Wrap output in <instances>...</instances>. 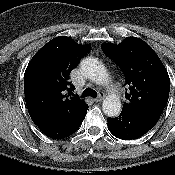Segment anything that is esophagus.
I'll list each match as a JSON object with an SVG mask.
<instances>
[{
	"label": "esophagus",
	"mask_w": 175,
	"mask_h": 175,
	"mask_svg": "<svg viewBox=\"0 0 175 175\" xmlns=\"http://www.w3.org/2000/svg\"><path fill=\"white\" fill-rule=\"evenodd\" d=\"M105 94L103 92H99L98 93V97L96 99H94L95 102H100L104 99Z\"/></svg>",
	"instance_id": "34e87169"
}]
</instances>
